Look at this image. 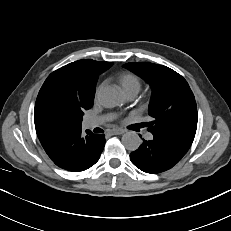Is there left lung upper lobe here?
Returning <instances> with one entry per match:
<instances>
[{"mask_svg": "<svg viewBox=\"0 0 231 231\" xmlns=\"http://www.w3.org/2000/svg\"><path fill=\"white\" fill-rule=\"evenodd\" d=\"M123 67L137 74L152 87L147 123L152 134L193 142L197 129V106L187 81L174 70L154 63H126Z\"/></svg>", "mask_w": 231, "mask_h": 231, "instance_id": "5c2ea615", "label": "left lung upper lobe"}]
</instances>
